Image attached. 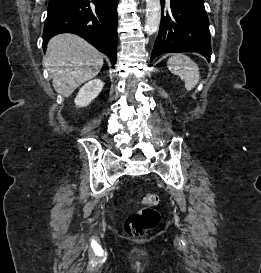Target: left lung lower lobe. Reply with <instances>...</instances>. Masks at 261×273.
Returning a JSON list of instances; mask_svg holds the SVG:
<instances>
[{
	"label": "left lung lower lobe",
	"instance_id": "0a47b994",
	"mask_svg": "<svg viewBox=\"0 0 261 273\" xmlns=\"http://www.w3.org/2000/svg\"><path fill=\"white\" fill-rule=\"evenodd\" d=\"M204 0H163L153 59L168 52H197L210 60L212 50Z\"/></svg>",
	"mask_w": 261,
	"mask_h": 273
}]
</instances>
